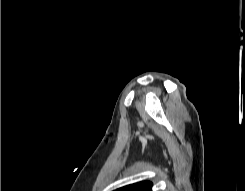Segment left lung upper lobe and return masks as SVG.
<instances>
[{
	"label": "left lung upper lobe",
	"mask_w": 245,
	"mask_h": 191,
	"mask_svg": "<svg viewBox=\"0 0 245 191\" xmlns=\"http://www.w3.org/2000/svg\"><path fill=\"white\" fill-rule=\"evenodd\" d=\"M115 191H152V182L141 181L123 186Z\"/></svg>",
	"instance_id": "1"
}]
</instances>
